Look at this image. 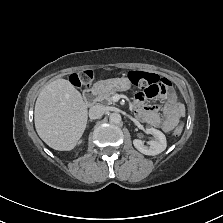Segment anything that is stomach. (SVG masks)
I'll use <instances>...</instances> for the list:
<instances>
[{
    "label": "stomach",
    "instance_id": "stomach-1",
    "mask_svg": "<svg viewBox=\"0 0 223 223\" xmlns=\"http://www.w3.org/2000/svg\"><path fill=\"white\" fill-rule=\"evenodd\" d=\"M132 81L129 77L123 78H114L108 79L104 81H99L94 84V90L101 94V91L105 90H117V91H125L130 88Z\"/></svg>",
    "mask_w": 223,
    "mask_h": 223
}]
</instances>
